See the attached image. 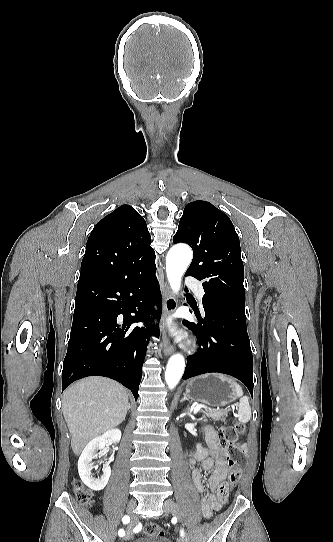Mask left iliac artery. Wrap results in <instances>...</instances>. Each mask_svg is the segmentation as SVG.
Instances as JSON below:
<instances>
[{
  "instance_id": "44dca946",
  "label": "left iliac artery",
  "mask_w": 333,
  "mask_h": 542,
  "mask_svg": "<svg viewBox=\"0 0 333 542\" xmlns=\"http://www.w3.org/2000/svg\"><path fill=\"white\" fill-rule=\"evenodd\" d=\"M183 534H184L183 531H181V536H183Z\"/></svg>"
}]
</instances>
